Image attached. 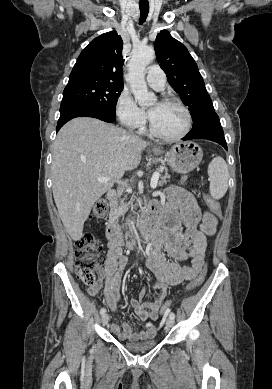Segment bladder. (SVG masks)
Instances as JSON below:
<instances>
[{"label":"bladder","instance_id":"1","mask_svg":"<svg viewBox=\"0 0 272 389\" xmlns=\"http://www.w3.org/2000/svg\"><path fill=\"white\" fill-rule=\"evenodd\" d=\"M156 345H157V341L154 339L143 341V342H131V341L123 342V346L127 350L132 352H146L156 347Z\"/></svg>","mask_w":272,"mask_h":389}]
</instances>
